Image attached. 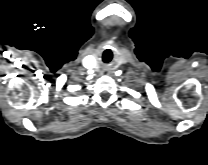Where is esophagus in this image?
Masks as SVG:
<instances>
[{
    "label": "esophagus",
    "instance_id": "esophagus-1",
    "mask_svg": "<svg viewBox=\"0 0 208 165\" xmlns=\"http://www.w3.org/2000/svg\"><path fill=\"white\" fill-rule=\"evenodd\" d=\"M102 73H103V74H108V72H107L106 70H104Z\"/></svg>",
    "mask_w": 208,
    "mask_h": 165
}]
</instances>
